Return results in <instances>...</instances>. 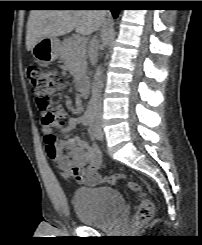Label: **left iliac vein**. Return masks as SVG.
Listing matches in <instances>:
<instances>
[{
    "mask_svg": "<svg viewBox=\"0 0 202 245\" xmlns=\"http://www.w3.org/2000/svg\"><path fill=\"white\" fill-rule=\"evenodd\" d=\"M91 135L97 140H102L104 137V132L102 130V124L99 120H92L90 123Z\"/></svg>",
    "mask_w": 202,
    "mask_h": 245,
    "instance_id": "left-iliac-vein-1",
    "label": "left iliac vein"
}]
</instances>
